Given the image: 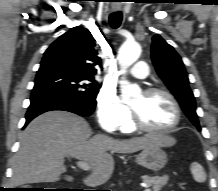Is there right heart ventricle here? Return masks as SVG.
I'll return each mask as SVG.
<instances>
[{
	"label": "right heart ventricle",
	"instance_id": "e07e8e85",
	"mask_svg": "<svg viewBox=\"0 0 218 191\" xmlns=\"http://www.w3.org/2000/svg\"><path fill=\"white\" fill-rule=\"evenodd\" d=\"M121 130H122L123 132H131V131H133V127H132V124H131L130 120H129V122H127V123L121 128Z\"/></svg>",
	"mask_w": 218,
	"mask_h": 191
}]
</instances>
